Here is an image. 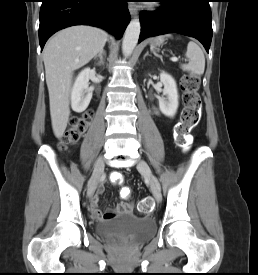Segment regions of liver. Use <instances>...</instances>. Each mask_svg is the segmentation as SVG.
Here are the masks:
<instances>
[{
	"label": "liver",
	"mask_w": 258,
	"mask_h": 275,
	"mask_svg": "<svg viewBox=\"0 0 258 275\" xmlns=\"http://www.w3.org/2000/svg\"><path fill=\"white\" fill-rule=\"evenodd\" d=\"M107 33L91 26L61 30L46 44L43 52L50 115L54 135L60 138L68 123L69 94L75 70L86 65L103 50Z\"/></svg>",
	"instance_id": "6515ba94"
}]
</instances>
